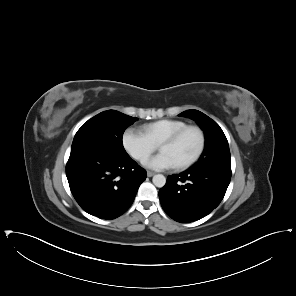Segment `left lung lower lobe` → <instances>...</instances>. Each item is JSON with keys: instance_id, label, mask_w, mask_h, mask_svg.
Listing matches in <instances>:
<instances>
[{"instance_id": "0a47b994", "label": "left lung lower lobe", "mask_w": 296, "mask_h": 296, "mask_svg": "<svg viewBox=\"0 0 296 296\" xmlns=\"http://www.w3.org/2000/svg\"><path fill=\"white\" fill-rule=\"evenodd\" d=\"M231 179V167H192L168 176L159 191L164 211L175 221L199 220L223 199Z\"/></svg>"}]
</instances>
